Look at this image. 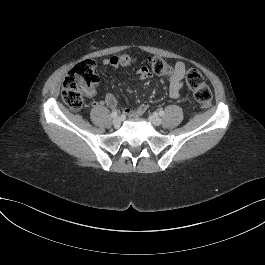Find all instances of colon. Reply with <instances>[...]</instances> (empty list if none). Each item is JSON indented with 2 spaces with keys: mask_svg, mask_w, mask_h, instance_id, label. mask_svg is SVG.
I'll return each instance as SVG.
<instances>
[{
  "mask_svg": "<svg viewBox=\"0 0 265 265\" xmlns=\"http://www.w3.org/2000/svg\"><path fill=\"white\" fill-rule=\"evenodd\" d=\"M111 59L114 64L122 68H130L135 63L134 56L127 52L113 56ZM147 62L157 76H167L172 72L170 65L163 58L150 56ZM186 82L201 108H210L212 93L203 75L197 69H190L186 75ZM97 83L98 77L96 75L95 62L92 60L78 62L64 79L62 99L70 109L77 111L83 106L84 90L95 86Z\"/></svg>",
  "mask_w": 265,
  "mask_h": 265,
  "instance_id": "obj_1",
  "label": "colon"
}]
</instances>
